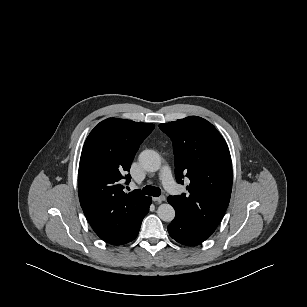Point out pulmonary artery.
<instances>
[{
    "instance_id": "pulmonary-artery-1",
    "label": "pulmonary artery",
    "mask_w": 307,
    "mask_h": 307,
    "mask_svg": "<svg viewBox=\"0 0 307 307\" xmlns=\"http://www.w3.org/2000/svg\"><path fill=\"white\" fill-rule=\"evenodd\" d=\"M160 180L164 186V188L171 193H177L178 187L176 186L171 170L168 165H164L161 172H160Z\"/></svg>"
}]
</instances>
